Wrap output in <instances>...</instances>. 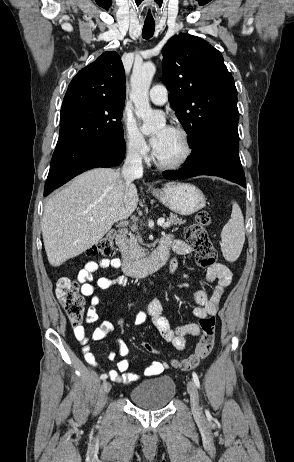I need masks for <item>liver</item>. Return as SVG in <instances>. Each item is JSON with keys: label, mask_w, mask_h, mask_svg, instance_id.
I'll return each mask as SVG.
<instances>
[{"label": "liver", "mask_w": 294, "mask_h": 462, "mask_svg": "<svg viewBox=\"0 0 294 462\" xmlns=\"http://www.w3.org/2000/svg\"><path fill=\"white\" fill-rule=\"evenodd\" d=\"M138 200L135 185L126 192L118 171L96 168L77 176L45 204L41 229L49 263L60 266L91 248L135 211Z\"/></svg>", "instance_id": "liver-1"}]
</instances>
